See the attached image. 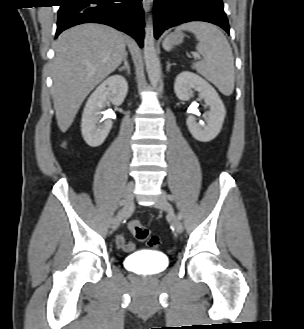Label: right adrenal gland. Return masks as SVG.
Instances as JSON below:
<instances>
[{
  "label": "right adrenal gland",
  "instance_id": "obj_1",
  "mask_svg": "<svg viewBox=\"0 0 304 329\" xmlns=\"http://www.w3.org/2000/svg\"><path fill=\"white\" fill-rule=\"evenodd\" d=\"M123 61H124V65L122 67H120L118 70L120 72L126 71L127 74L129 75L130 74V66H129V63H128V60H127V55L125 56Z\"/></svg>",
  "mask_w": 304,
  "mask_h": 329
}]
</instances>
